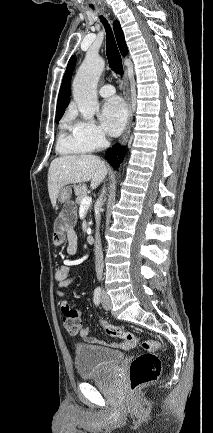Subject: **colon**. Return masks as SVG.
<instances>
[{
    "instance_id": "obj_1",
    "label": "colon",
    "mask_w": 213,
    "mask_h": 433,
    "mask_svg": "<svg viewBox=\"0 0 213 433\" xmlns=\"http://www.w3.org/2000/svg\"><path fill=\"white\" fill-rule=\"evenodd\" d=\"M82 318L78 311L64 314L63 326L69 335L75 336L82 329ZM100 326L110 337L120 338L130 345H139L145 353L135 357L129 366V383L132 390L156 380L161 372V360L155 354L162 349V344L155 339H141L136 335L123 330L120 326L100 322Z\"/></svg>"
}]
</instances>
